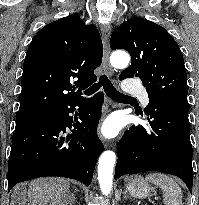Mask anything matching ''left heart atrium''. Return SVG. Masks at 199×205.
I'll use <instances>...</instances> for the list:
<instances>
[{
	"label": "left heart atrium",
	"instance_id": "left-heart-atrium-1",
	"mask_svg": "<svg viewBox=\"0 0 199 205\" xmlns=\"http://www.w3.org/2000/svg\"><path fill=\"white\" fill-rule=\"evenodd\" d=\"M121 124L116 117L108 118L101 126V134L105 138H112L119 132Z\"/></svg>",
	"mask_w": 199,
	"mask_h": 205
}]
</instances>
